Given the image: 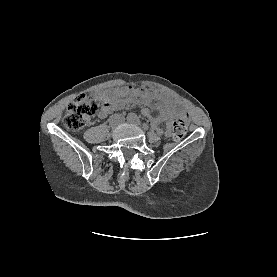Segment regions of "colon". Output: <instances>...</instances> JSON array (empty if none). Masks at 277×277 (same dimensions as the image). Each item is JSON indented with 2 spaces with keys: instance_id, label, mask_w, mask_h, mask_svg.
<instances>
[{
  "instance_id": "5ec220e1",
  "label": "colon",
  "mask_w": 277,
  "mask_h": 277,
  "mask_svg": "<svg viewBox=\"0 0 277 277\" xmlns=\"http://www.w3.org/2000/svg\"><path fill=\"white\" fill-rule=\"evenodd\" d=\"M97 110V103L88 96H79L75 98L68 106L63 124L70 131H77L85 127L94 116ZM187 133L185 120L177 119L172 124V134L174 139L180 140Z\"/></svg>"
}]
</instances>
